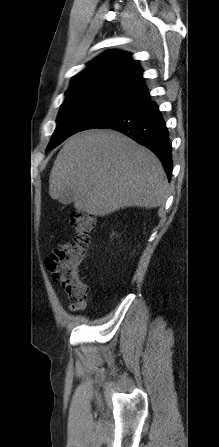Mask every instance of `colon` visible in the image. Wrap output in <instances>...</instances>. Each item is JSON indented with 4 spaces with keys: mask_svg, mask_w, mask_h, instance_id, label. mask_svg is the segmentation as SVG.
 <instances>
[{
    "mask_svg": "<svg viewBox=\"0 0 219 447\" xmlns=\"http://www.w3.org/2000/svg\"><path fill=\"white\" fill-rule=\"evenodd\" d=\"M75 236L58 245L47 259V267L53 280L65 289L71 302H85L87 286L79 276L80 266L85 258L95 220L82 212L70 216Z\"/></svg>",
    "mask_w": 219,
    "mask_h": 447,
    "instance_id": "5ec220e1",
    "label": "colon"
}]
</instances>
